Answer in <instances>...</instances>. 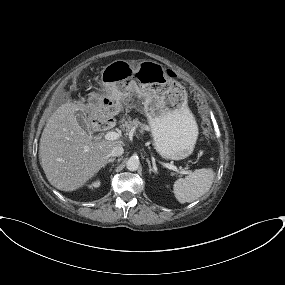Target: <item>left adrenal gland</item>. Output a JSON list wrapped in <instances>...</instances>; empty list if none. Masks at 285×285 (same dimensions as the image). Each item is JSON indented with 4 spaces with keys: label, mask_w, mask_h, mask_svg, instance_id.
I'll return each instance as SVG.
<instances>
[{
    "label": "left adrenal gland",
    "mask_w": 285,
    "mask_h": 285,
    "mask_svg": "<svg viewBox=\"0 0 285 285\" xmlns=\"http://www.w3.org/2000/svg\"><path fill=\"white\" fill-rule=\"evenodd\" d=\"M146 161H147V163H148L149 172H150V173L157 174V170H156L155 168H152V167H151L150 160L147 158Z\"/></svg>",
    "instance_id": "obj_1"
}]
</instances>
